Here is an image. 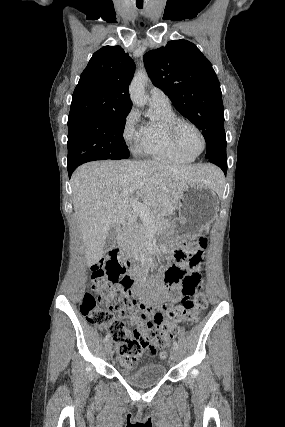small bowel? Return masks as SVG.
<instances>
[{
  "label": "small bowel",
  "mask_w": 285,
  "mask_h": 427,
  "mask_svg": "<svg viewBox=\"0 0 285 427\" xmlns=\"http://www.w3.org/2000/svg\"><path fill=\"white\" fill-rule=\"evenodd\" d=\"M202 262V255L197 254L192 259L183 262L182 266L187 268L188 273L200 274V263ZM186 295V292L181 286H173L166 288L159 286L157 291L152 296H146L143 299L142 308L148 313L151 318L150 320H143L145 325L151 326L156 323H163V314L168 312L169 305L176 303ZM184 320L181 318L178 322ZM147 353H151L148 351Z\"/></svg>",
  "instance_id": "1"
}]
</instances>
